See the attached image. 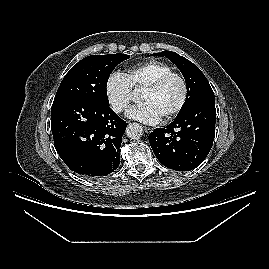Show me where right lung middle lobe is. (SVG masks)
<instances>
[{
  "mask_svg": "<svg viewBox=\"0 0 269 269\" xmlns=\"http://www.w3.org/2000/svg\"><path fill=\"white\" fill-rule=\"evenodd\" d=\"M126 54L91 55L75 64L63 78L54 100L77 98L109 105L107 81Z\"/></svg>",
  "mask_w": 269,
  "mask_h": 269,
  "instance_id": "dd1d6c3e",
  "label": "right lung middle lobe"
}]
</instances>
